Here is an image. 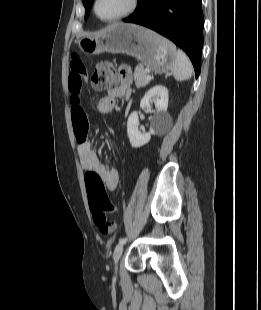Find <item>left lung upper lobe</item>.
Instances as JSON below:
<instances>
[{
    "label": "left lung upper lobe",
    "instance_id": "1",
    "mask_svg": "<svg viewBox=\"0 0 261 310\" xmlns=\"http://www.w3.org/2000/svg\"><path fill=\"white\" fill-rule=\"evenodd\" d=\"M93 1L94 0H83V4H84L85 10H86V12H85V19H87L88 16H89L90 9L92 7Z\"/></svg>",
    "mask_w": 261,
    "mask_h": 310
}]
</instances>
